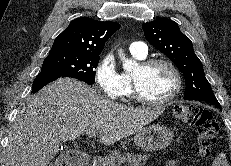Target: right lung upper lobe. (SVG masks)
Masks as SVG:
<instances>
[{
	"label": "right lung upper lobe",
	"mask_w": 231,
	"mask_h": 166,
	"mask_svg": "<svg viewBox=\"0 0 231 166\" xmlns=\"http://www.w3.org/2000/svg\"><path fill=\"white\" fill-rule=\"evenodd\" d=\"M120 28L115 22H101L88 17L73 20L57 36L50 52L72 51L99 55L105 42Z\"/></svg>",
	"instance_id": "obj_1"
}]
</instances>
